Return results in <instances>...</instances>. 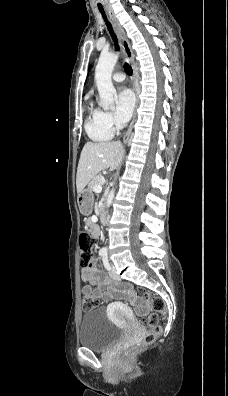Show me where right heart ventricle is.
<instances>
[{
  "label": "right heart ventricle",
  "instance_id": "obj_1",
  "mask_svg": "<svg viewBox=\"0 0 228 396\" xmlns=\"http://www.w3.org/2000/svg\"><path fill=\"white\" fill-rule=\"evenodd\" d=\"M85 130L90 139L97 142L108 141L114 135V130L104 124L101 111L92 107L85 122Z\"/></svg>",
  "mask_w": 228,
  "mask_h": 396
}]
</instances>
